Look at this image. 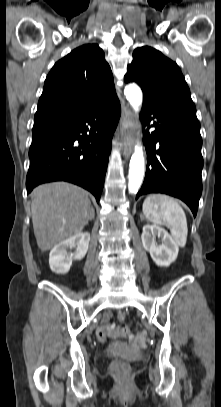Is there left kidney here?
Wrapping results in <instances>:
<instances>
[{
    "instance_id": "5707ae66",
    "label": "left kidney",
    "mask_w": 221,
    "mask_h": 407,
    "mask_svg": "<svg viewBox=\"0 0 221 407\" xmlns=\"http://www.w3.org/2000/svg\"><path fill=\"white\" fill-rule=\"evenodd\" d=\"M156 236L161 238V245H157ZM141 239L144 249L150 253L151 258L158 266L168 267L176 260L179 246L164 228L147 224L143 226Z\"/></svg>"
}]
</instances>
